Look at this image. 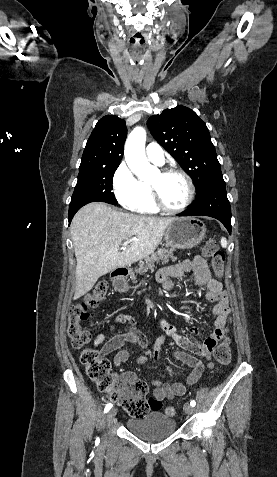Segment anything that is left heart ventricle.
Here are the masks:
<instances>
[{
	"label": "left heart ventricle",
	"mask_w": 277,
	"mask_h": 477,
	"mask_svg": "<svg viewBox=\"0 0 277 477\" xmlns=\"http://www.w3.org/2000/svg\"><path fill=\"white\" fill-rule=\"evenodd\" d=\"M150 184L157 187L163 202L170 208L180 207L186 200L188 188L183 177L177 174L156 173Z\"/></svg>",
	"instance_id": "1"
}]
</instances>
